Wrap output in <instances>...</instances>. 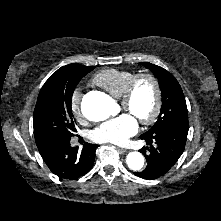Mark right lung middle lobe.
Here are the masks:
<instances>
[{
    "label": "right lung middle lobe",
    "mask_w": 221,
    "mask_h": 221,
    "mask_svg": "<svg viewBox=\"0 0 221 221\" xmlns=\"http://www.w3.org/2000/svg\"><path fill=\"white\" fill-rule=\"evenodd\" d=\"M94 67L69 64L53 73L40 90L33 115L36 144L49 139H70L75 123L71 112L73 92Z\"/></svg>",
    "instance_id": "right-lung-middle-lobe-1"
}]
</instances>
